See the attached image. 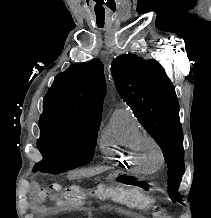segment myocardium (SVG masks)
Segmentation results:
<instances>
[{"label": "myocardium", "instance_id": "1", "mask_svg": "<svg viewBox=\"0 0 211 218\" xmlns=\"http://www.w3.org/2000/svg\"><path fill=\"white\" fill-rule=\"evenodd\" d=\"M146 145H151V146H153L155 148L156 153H157V166H160L163 163V159H164L163 151H162V148H161L160 144L157 142V140L154 137L150 136V135H144L141 138L140 152H139L141 162L142 163H148V162L145 161L144 153H143V150H144Z\"/></svg>", "mask_w": 211, "mask_h": 218}]
</instances>
